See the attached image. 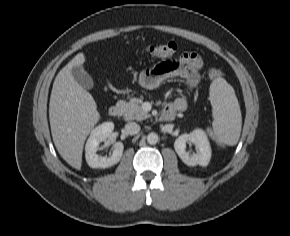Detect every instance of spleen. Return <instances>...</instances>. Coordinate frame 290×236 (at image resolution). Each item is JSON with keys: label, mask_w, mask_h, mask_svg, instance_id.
<instances>
[{"label": "spleen", "mask_w": 290, "mask_h": 236, "mask_svg": "<svg viewBox=\"0 0 290 236\" xmlns=\"http://www.w3.org/2000/svg\"><path fill=\"white\" fill-rule=\"evenodd\" d=\"M209 94L214 120L208 132L220 144L235 145L240 137L242 117L233 87L217 78L211 83Z\"/></svg>", "instance_id": "obj_1"}]
</instances>
